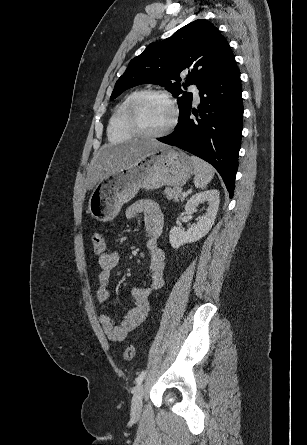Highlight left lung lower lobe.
<instances>
[{"instance_id": "obj_1", "label": "left lung lower lobe", "mask_w": 307, "mask_h": 445, "mask_svg": "<svg viewBox=\"0 0 307 445\" xmlns=\"http://www.w3.org/2000/svg\"><path fill=\"white\" fill-rule=\"evenodd\" d=\"M242 88L234 56L199 91L201 104L179 121L176 130L159 141L177 146L212 164L222 176L230 198L234 193L242 136Z\"/></svg>"}]
</instances>
